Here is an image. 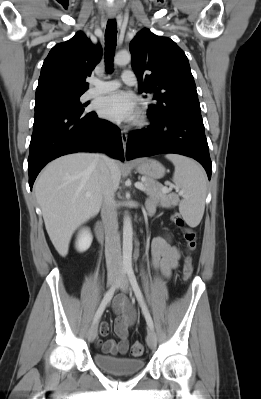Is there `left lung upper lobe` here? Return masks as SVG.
Masks as SVG:
<instances>
[{
    "label": "left lung upper lobe",
    "instance_id": "obj_1",
    "mask_svg": "<svg viewBox=\"0 0 261 399\" xmlns=\"http://www.w3.org/2000/svg\"><path fill=\"white\" fill-rule=\"evenodd\" d=\"M139 92L152 93L151 115L166 118L183 110H200L188 58L170 38L143 29L130 43Z\"/></svg>",
    "mask_w": 261,
    "mask_h": 399
}]
</instances>
